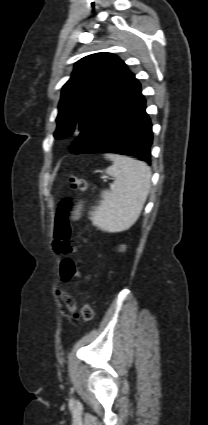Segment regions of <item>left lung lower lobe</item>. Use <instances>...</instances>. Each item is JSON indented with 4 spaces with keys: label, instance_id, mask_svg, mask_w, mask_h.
<instances>
[{
    "label": "left lung lower lobe",
    "instance_id": "left-lung-lower-lobe-1",
    "mask_svg": "<svg viewBox=\"0 0 208 425\" xmlns=\"http://www.w3.org/2000/svg\"><path fill=\"white\" fill-rule=\"evenodd\" d=\"M141 85L134 79L84 128L75 142L80 153H116L150 163L152 124Z\"/></svg>",
    "mask_w": 208,
    "mask_h": 425
}]
</instances>
